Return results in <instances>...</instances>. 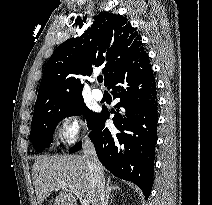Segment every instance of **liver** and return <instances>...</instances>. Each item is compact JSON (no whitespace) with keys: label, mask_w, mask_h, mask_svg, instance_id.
<instances>
[{"label":"liver","mask_w":212,"mask_h":205,"mask_svg":"<svg viewBox=\"0 0 212 205\" xmlns=\"http://www.w3.org/2000/svg\"><path fill=\"white\" fill-rule=\"evenodd\" d=\"M32 171L39 205L44 204L54 190L60 191L53 205H77V199L68 186L64 185L57 189L60 183L73 186L80 193L81 198L94 204L90 171L84 156H44L34 163Z\"/></svg>","instance_id":"6515ba94"}]
</instances>
